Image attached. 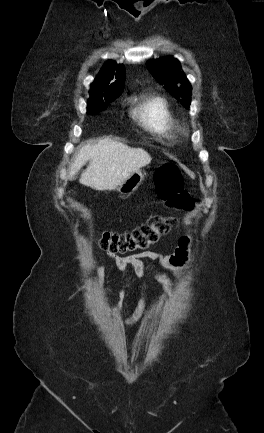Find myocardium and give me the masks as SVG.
<instances>
[{
    "mask_svg": "<svg viewBox=\"0 0 264 433\" xmlns=\"http://www.w3.org/2000/svg\"><path fill=\"white\" fill-rule=\"evenodd\" d=\"M182 132H183L184 134H187V133H188L187 128H186V127H183V128H182Z\"/></svg>",
    "mask_w": 264,
    "mask_h": 433,
    "instance_id": "1",
    "label": "myocardium"
}]
</instances>
